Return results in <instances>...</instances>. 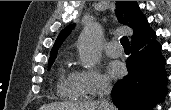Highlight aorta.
<instances>
[{
	"label": "aorta",
	"instance_id": "obj_1",
	"mask_svg": "<svg viewBox=\"0 0 171 110\" xmlns=\"http://www.w3.org/2000/svg\"><path fill=\"white\" fill-rule=\"evenodd\" d=\"M100 38L101 34L96 26L90 27L82 33L78 50L81 63L85 68L89 69L97 64L100 58Z\"/></svg>",
	"mask_w": 171,
	"mask_h": 110
}]
</instances>
